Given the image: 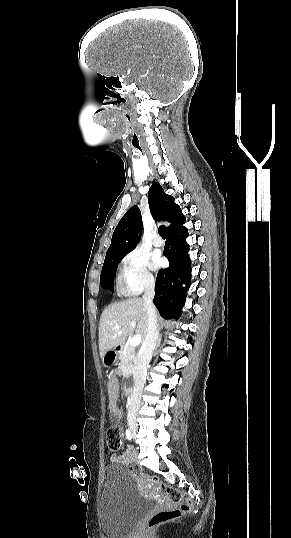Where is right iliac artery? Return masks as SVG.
<instances>
[{
	"label": "right iliac artery",
	"mask_w": 291,
	"mask_h": 538,
	"mask_svg": "<svg viewBox=\"0 0 291 538\" xmlns=\"http://www.w3.org/2000/svg\"><path fill=\"white\" fill-rule=\"evenodd\" d=\"M126 437H127L128 440L132 439V434H131L129 429L126 430Z\"/></svg>",
	"instance_id": "1"
}]
</instances>
